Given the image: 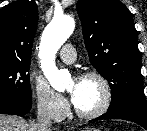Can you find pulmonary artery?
I'll use <instances>...</instances> for the list:
<instances>
[{
    "mask_svg": "<svg viewBox=\"0 0 147 131\" xmlns=\"http://www.w3.org/2000/svg\"><path fill=\"white\" fill-rule=\"evenodd\" d=\"M59 55L65 63H73L76 60V52L71 44L64 45L61 48Z\"/></svg>",
    "mask_w": 147,
    "mask_h": 131,
    "instance_id": "pulmonary-artery-1",
    "label": "pulmonary artery"
}]
</instances>
